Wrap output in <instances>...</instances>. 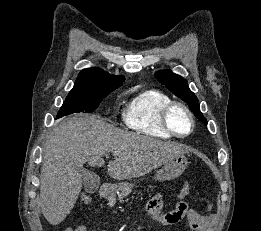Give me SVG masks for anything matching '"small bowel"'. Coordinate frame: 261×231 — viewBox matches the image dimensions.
Returning a JSON list of instances; mask_svg holds the SVG:
<instances>
[{"label":"small bowel","instance_id":"obj_1","mask_svg":"<svg viewBox=\"0 0 261 231\" xmlns=\"http://www.w3.org/2000/svg\"><path fill=\"white\" fill-rule=\"evenodd\" d=\"M187 194L180 193V200L176 203L174 209L163 213V198L160 195L154 196L147 204L148 213L152 220L160 225L172 226L177 224L181 219L185 218L188 221L195 213L190 209L185 201L182 200ZM212 226H209L203 231H212ZM64 231H87V227L80 225L76 228L67 227ZM93 231H105V230H93Z\"/></svg>","mask_w":261,"mask_h":231}]
</instances>
